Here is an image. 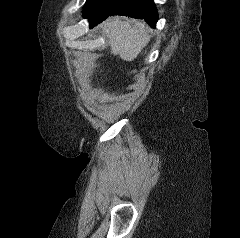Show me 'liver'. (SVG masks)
<instances>
[{
    "mask_svg": "<svg viewBox=\"0 0 240 238\" xmlns=\"http://www.w3.org/2000/svg\"><path fill=\"white\" fill-rule=\"evenodd\" d=\"M103 34L108 38L111 49L126 61H133L149 41L144 23L120 17L104 21Z\"/></svg>",
    "mask_w": 240,
    "mask_h": 238,
    "instance_id": "liver-1",
    "label": "liver"
}]
</instances>
